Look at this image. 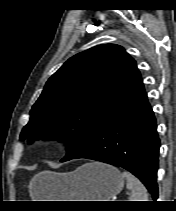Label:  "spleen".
<instances>
[{
    "label": "spleen",
    "instance_id": "obj_1",
    "mask_svg": "<svg viewBox=\"0 0 176 211\" xmlns=\"http://www.w3.org/2000/svg\"><path fill=\"white\" fill-rule=\"evenodd\" d=\"M122 175L127 179V188L131 190L129 201H148V193L145 186L128 171H124Z\"/></svg>",
    "mask_w": 176,
    "mask_h": 211
}]
</instances>
